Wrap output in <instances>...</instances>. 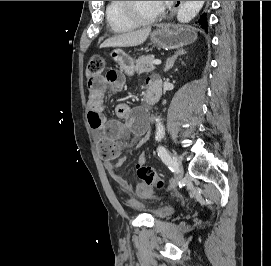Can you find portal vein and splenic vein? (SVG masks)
<instances>
[{
  "mask_svg": "<svg viewBox=\"0 0 271 266\" xmlns=\"http://www.w3.org/2000/svg\"><path fill=\"white\" fill-rule=\"evenodd\" d=\"M152 64L158 66L161 64V60H153Z\"/></svg>",
  "mask_w": 271,
  "mask_h": 266,
  "instance_id": "1",
  "label": "portal vein and splenic vein"
}]
</instances>
